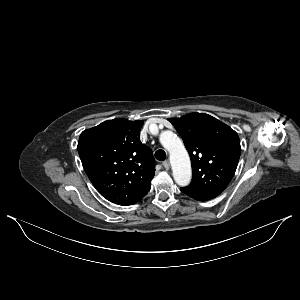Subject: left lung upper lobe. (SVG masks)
Segmentation results:
<instances>
[{
	"instance_id": "1",
	"label": "left lung upper lobe",
	"mask_w": 300,
	"mask_h": 300,
	"mask_svg": "<svg viewBox=\"0 0 300 300\" xmlns=\"http://www.w3.org/2000/svg\"><path fill=\"white\" fill-rule=\"evenodd\" d=\"M182 137L192 163L194 192L218 196L231 181L241 147L238 134L223 122L203 113L169 118Z\"/></svg>"
}]
</instances>
